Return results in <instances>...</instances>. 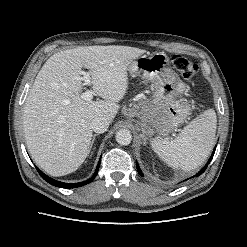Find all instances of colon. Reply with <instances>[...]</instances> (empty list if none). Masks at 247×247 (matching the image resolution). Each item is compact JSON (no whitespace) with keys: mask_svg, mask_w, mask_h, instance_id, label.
<instances>
[{"mask_svg":"<svg viewBox=\"0 0 247 247\" xmlns=\"http://www.w3.org/2000/svg\"><path fill=\"white\" fill-rule=\"evenodd\" d=\"M173 65L186 81H192L198 73V66L182 56H176Z\"/></svg>","mask_w":247,"mask_h":247,"instance_id":"1","label":"colon"}]
</instances>
